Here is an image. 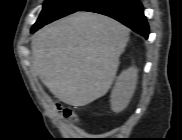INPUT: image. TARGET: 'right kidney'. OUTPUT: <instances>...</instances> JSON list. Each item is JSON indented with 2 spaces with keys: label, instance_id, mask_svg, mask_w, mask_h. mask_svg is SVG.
<instances>
[{
  "label": "right kidney",
  "instance_id": "obj_1",
  "mask_svg": "<svg viewBox=\"0 0 182 140\" xmlns=\"http://www.w3.org/2000/svg\"><path fill=\"white\" fill-rule=\"evenodd\" d=\"M138 70L131 67L123 71L116 80L111 93V109L115 113L123 111L129 104L137 84Z\"/></svg>",
  "mask_w": 182,
  "mask_h": 140
}]
</instances>
